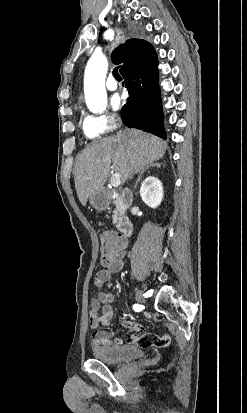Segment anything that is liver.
Instances as JSON below:
<instances>
[{
	"mask_svg": "<svg viewBox=\"0 0 247 413\" xmlns=\"http://www.w3.org/2000/svg\"><path fill=\"white\" fill-rule=\"evenodd\" d=\"M166 146L167 142L162 138L137 128H125L85 146L77 154L74 166L75 188L83 207L88 196L101 190L107 182L111 162L125 182L130 174L140 172L150 162L162 158Z\"/></svg>",
	"mask_w": 247,
	"mask_h": 413,
	"instance_id": "liver-1",
	"label": "liver"
}]
</instances>
